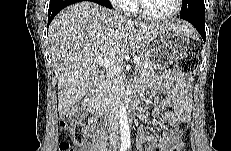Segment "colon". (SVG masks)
<instances>
[{
	"label": "colon",
	"instance_id": "1",
	"mask_svg": "<svg viewBox=\"0 0 231 151\" xmlns=\"http://www.w3.org/2000/svg\"><path fill=\"white\" fill-rule=\"evenodd\" d=\"M197 57L194 54H187L177 62V68L187 80H190L197 70ZM60 126L63 130H69L73 143L63 142L60 144V151H83L82 144L87 140L83 115L78 108H73L62 115ZM181 130H176L177 140H181ZM171 151H181V146L176 144Z\"/></svg>",
	"mask_w": 231,
	"mask_h": 151
}]
</instances>
